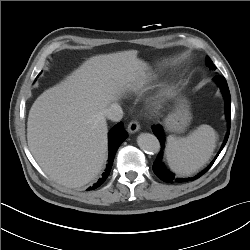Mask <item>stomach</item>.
Instances as JSON below:
<instances>
[{
  "mask_svg": "<svg viewBox=\"0 0 250 250\" xmlns=\"http://www.w3.org/2000/svg\"><path fill=\"white\" fill-rule=\"evenodd\" d=\"M191 121V113L185 99L179 100L176 110L165 119V126L171 132H183Z\"/></svg>",
  "mask_w": 250,
  "mask_h": 250,
  "instance_id": "obj_1",
  "label": "stomach"
}]
</instances>
